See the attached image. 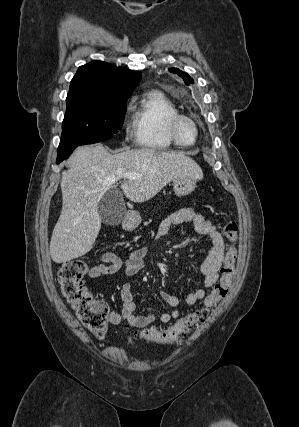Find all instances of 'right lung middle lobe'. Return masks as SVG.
Masks as SVG:
<instances>
[{
	"label": "right lung middle lobe",
	"instance_id": "right-lung-middle-lobe-1",
	"mask_svg": "<svg viewBox=\"0 0 299 427\" xmlns=\"http://www.w3.org/2000/svg\"><path fill=\"white\" fill-rule=\"evenodd\" d=\"M128 97L66 100L58 152L110 139L122 127Z\"/></svg>",
	"mask_w": 299,
	"mask_h": 427
}]
</instances>
